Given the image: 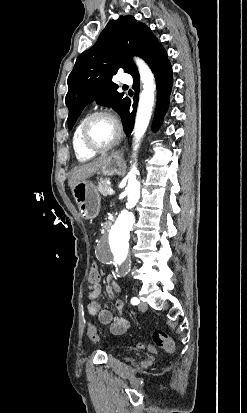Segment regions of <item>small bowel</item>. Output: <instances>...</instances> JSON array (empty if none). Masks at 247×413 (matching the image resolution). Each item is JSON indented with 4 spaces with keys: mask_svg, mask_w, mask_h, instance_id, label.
I'll return each instance as SVG.
<instances>
[{
    "mask_svg": "<svg viewBox=\"0 0 247 413\" xmlns=\"http://www.w3.org/2000/svg\"><path fill=\"white\" fill-rule=\"evenodd\" d=\"M105 292L117 312L116 317H113L108 306L102 307L98 302L101 295V284L99 289L86 290V298L88 300L87 312L90 316L97 317L101 324L110 325V330L113 334H122L128 329L129 321L123 312V302L115 300V294L121 292V286L115 280H111L107 284Z\"/></svg>",
    "mask_w": 247,
    "mask_h": 413,
    "instance_id": "1",
    "label": "small bowel"
}]
</instances>
